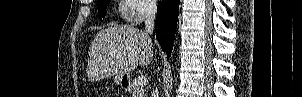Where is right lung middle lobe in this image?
Wrapping results in <instances>:
<instances>
[{"label": "right lung middle lobe", "instance_id": "1", "mask_svg": "<svg viewBox=\"0 0 302 97\" xmlns=\"http://www.w3.org/2000/svg\"><path fill=\"white\" fill-rule=\"evenodd\" d=\"M98 2V15L101 19L106 14V7L109 4L110 0H99Z\"/></svg>", "mask_w": 302, "mask_h": 97}]
</instances>
